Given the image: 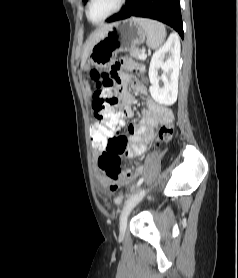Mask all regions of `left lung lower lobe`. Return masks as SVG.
Returning a JSON list of instances; mask_svg holds the SVG:
<instances>
[{"mask_svg":"<svg viewBox=\"0 0 238 278\" xmlns=\"http://www.w3.org/2000/svg\"><path fill=\"white\" fill-rule=\"evenodd\" d=\"M131 16L161 21L171 26L183 38L179 0H127L123 10L106 21L114 22Z\"/></svg>","mask_w":238,"mask_h":278,"instance_id":"0a47b994","label":"left lung lower lobe"}]
</instances>
